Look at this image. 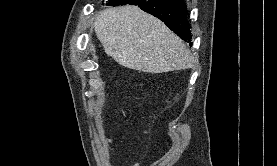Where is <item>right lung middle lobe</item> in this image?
Wrapping results in <instances>:
<instances>
[{
	"mask_svg": "<svg viewBox=\"0 0 277 166\" xmlns=\"http://www.w3.org/2000/svg\"><path fill=\"white\" fill-rule=\"evenodd\" d=\"M118 0H108L107 1V5L110 4V3H113V2H117Z\"/></svg>",
	"mask_w": 277,
	"mask_h": 166,
	"instance_id": "obj_1",
	"label": "right lung middle lobe"
}]
</instances>
